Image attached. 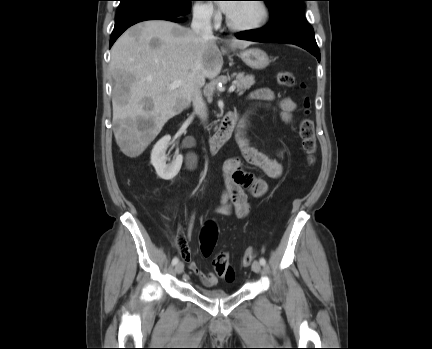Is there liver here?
<instances>
[{
    "label": "liver",
    "instance_id": "liver-1",
    "mask_svg": "<svg viewBox=\"0 0 432 349\" xmlns=\"http://www.w3.org/2000/svg\"><path fill=\"white\" fill-rule=\"evenodd\" d=\"M250 41L233 39L232 50ZM223 66L216 38L205 39L176 23L153 20L125 31L111 49L113 131L128 157L141 155L165 123L189 107L196 87ZM183 84L175 89L174 81ZM144 122L146 124H144Z\"/></svg>",
    "mask_w": 432,
    "mask_h": 349
}]
</instances>
